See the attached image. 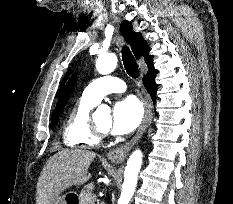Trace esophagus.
<instances>
[{
    "instance_id": "34e87169",
    "label": "esophagus",
    "mask_w": 233,
    "mask_h": 204,
    "mask_svg": "<svg viewBox=\"0 0 233 204\" xmlns=\"http://www.w3.org/2000/svg\"><path fill=\"white\" fill-rule=\"evenodd\" d=\"M143 93H144L143 102H144V107H145V114H144L142 123L137 133L135 134V136L129 142H127L126 144L122 146L112 149L108 153V158L112 161H115V162L123 161L126 158L128 152L139 141V139L142 137V135L144 134V132L146 131V129L151 123L152 115H153L152 101H151L149 94L145 90H143Z\"/></svg>"
}]
</instances>
